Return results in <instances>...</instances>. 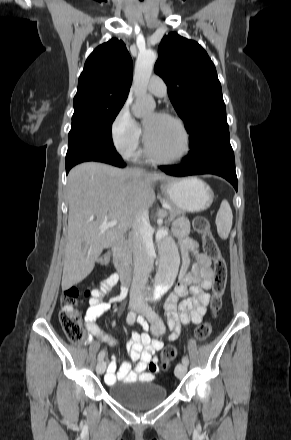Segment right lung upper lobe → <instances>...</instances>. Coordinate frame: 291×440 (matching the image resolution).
Here are the masks:
<instances>
[{"mask_svg":"<svg viewBox=\"0 0 291 440\" xmlns=\"http://www.w3.org/2000/svg\"><path fill=\"white\" fill-rule=\"evenodd\" d=\"M132 76V59L125 44L113 38L98 46L87 58L74 103L126 100Z\"/></svg>","mask_w":291,"mask_h":440,"instance_id":"obj_1","label":"right lung upper lobe"}]
</instances>
